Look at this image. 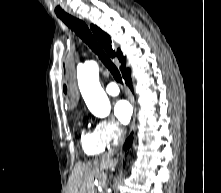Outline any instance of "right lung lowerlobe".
Wrapping results in <instances>:
<instances>
[{"mask_svg": "<svg viewBox=\"0 0 221 193\" xmlns=\"http://www.w3.org/2000/svg\"><path fill=\"white\" fill-rule=\"evenodd\" d=\"M123 78H124L126 84L129 86V88L133 91L130 70H128L125 74H123ZM132 141H133V135L131 134L125 142V145H124L125 150L131 146Z\"/></svg>", "mask_w": 221, "mask_h": 193, "instance_id": "obj_1", "label": "right lung lower lobe"}]
</instances>
